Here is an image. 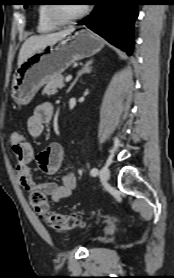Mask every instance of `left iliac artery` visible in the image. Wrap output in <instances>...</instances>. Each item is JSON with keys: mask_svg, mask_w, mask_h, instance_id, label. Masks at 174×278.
Returning a JSON list of instances; mask_svg holds the SVG:
<instances>
[{"mask_svg": "<svg viewBox=\"0 0 174 278\" xmlns=\"http://www.w3.org/2000/svg\"><path fill=\"white\" fill-rule=\"evenodd\" d=\"M90 174H91L92 176H97V175H98V169H97V168L91 169Z\"/></svg>", "mask_w": 174, "mask_h": 278, "instance_id": "44dca946", "label": "left iliac artery"}]
</instances>
